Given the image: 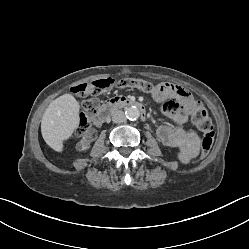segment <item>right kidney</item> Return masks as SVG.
Returning <instances> with one entry per match:
<instances>
[{
  "label": "right kidney",
  "instance_id": "ca27d5eb",
  "mask_svg": "<svg viewBox=\"0 0 249 249\" xmlns=\"http://www.w3.org/2000/svg\"><path fill=\"white\" fill-rule=\"evenodd\" d=\"M98 135V129L96 127H91L87 133L82 135V140L78 143V149L81 151H86L95 141V137Z\"/></svg>",
  "mask_w": 249,
  "mask_h": 249
}]
</instances>
